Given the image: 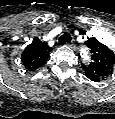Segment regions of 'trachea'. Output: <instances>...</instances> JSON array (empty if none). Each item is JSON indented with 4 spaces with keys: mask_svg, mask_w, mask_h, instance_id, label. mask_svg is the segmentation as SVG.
I'll return each mask as SVG.
<instances>
[{
    "mask_svg": "<svg viewBox=\"0 0 115 119\" xmlns=\"http://www.w3.org/2000/svg\"><path fill=\"white\" fill-rule=\"evenodd\" d=\"M71 42V35L68 32L62 34L59 38V44L69 43Z\"/></svg>",
    "mask_w": 115,
    "mask_h": 119,
    "instance_id": "1",
    "label": "trachea"
}]
</instances>
